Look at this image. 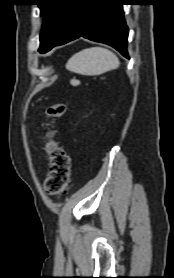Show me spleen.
Here are the masks:
<instances>
[{
    "instance_id": "obj_1",
    "label": "spleen",
    "mask_w": 174,
    "mask_h": 278,
    "mask_svg": "<svg viewBox=\"0 0 174 278\" xmlns=\"http://www.w3.org/2000/svg\"><path fill=\"white\" fill-rule=\"evenodd\" d=\"M119 64L118 57L110 50L91 47L74 54L68 60L66 68L73 73L94 76L116 69Z\"/></svg>"
}]
</instances>
